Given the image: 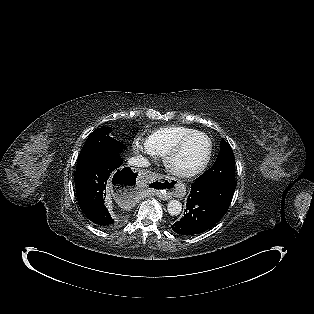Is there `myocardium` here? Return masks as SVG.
<instances>
[{
  "label": "myocardium",
  "instance_id": "myocardium-1",
  "mask_svg": "<svg viewBox=\"0 0 314 314\" xmlns=\"http://www.w3.org/2000/svg\"><path fill=\"white\" fill-rule=\"evenodd\" d=\"M195 136H203L208 142V152L205 160L197 167L189 170H182L177 168L174 165L175 158L182 152L186 143ZM213 156V142L212 139L206 133L202 131H195L190 133L183 138H181L178 143L167 152L164 156V165L168 171L173 173L176 176L183 177V178H191L195 177L201 173H203L207 167L209 166Z\"/></svg>",
  "mask_w": 314,
  "mask_h": 314
}]
</instances>
